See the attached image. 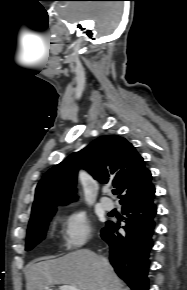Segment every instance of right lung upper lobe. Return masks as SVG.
<instances>
[{"label":"right lung upper lobe","instance_id":"obj_1","mask_svg":"<svg viewBox=\"0 0 187 290\" xmlns=\"http://www.w3.org/2000/svg\"><path fill=\"white\" fill-rule=\"evenodd\" d=\"M79 168L86 169L100 183H112L122 194V206L142 203L154 197L151 173L133 145L117 135L101 136L43 176L36 188L30 222L56 211V206L76 199Z\"/></svg>","mask_w":187,"mask_h":290}]
</instances>
